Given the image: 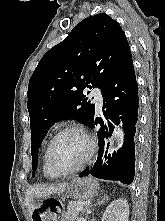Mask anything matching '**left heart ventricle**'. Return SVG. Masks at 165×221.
I'll use <instances>...</instances> for the list:
<instances>
[{"label": "left heart ventricle", "instance_id": "obj_1", "mask_svg": "<svg viewBox=\"0 0 165 221\" xmlns=\"http://www.w3.org/2000/svg\"><path fill=\"white\" fill-rule=\"evenodd\" d=\"M88 142L78 132L61 135L53 144L51 158L54 165L61 170L76 166L87 154Z\"/></svg>", "mask_w": 165, "mask_h": 221}]
</instances>
